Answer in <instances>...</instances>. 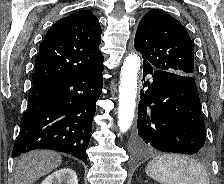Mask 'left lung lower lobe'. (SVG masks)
Segmentation results:
<instances>
[{
	"label": "left lung lower lobe",
	"instance_id": "obj_1",
	"mask_svg": "<svg viewBox=\"0 0 224 184\" xmlns=\"http://www.w3.org/2000/svg\"><path fill=\"white\" fill-rule=\"evenodd\" d=\"M152 74L141 90L138 110L139 147L162 152L195 154L205 149V126L200 99L192 76L143 66Z\"/></svg>",
	"mask_w": 224,
	"mask_h": 184
}]
</instances>
